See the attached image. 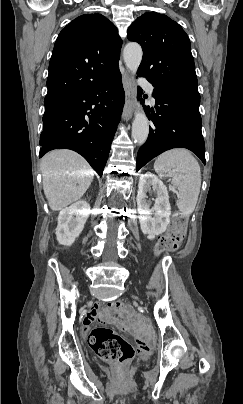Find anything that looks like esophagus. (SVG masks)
<instances>
[{"label": "esophagus", "instance_id": "1", "mask_svg": "<svg viewBox=\"0 0 243 404\" xmlns=\"http://www.w3.org/2000/svg\"><path fill=\"white\" fill-rule=\"evenodd\" d=\"M122 83L125 91V105L123 108L122 119L124 121H129L132 118L134 112L135 95L132 77L129 76L125 69L122 70Z\"/></svg>", "mask_w": 243, "mask_h": 404}]
</instances>
